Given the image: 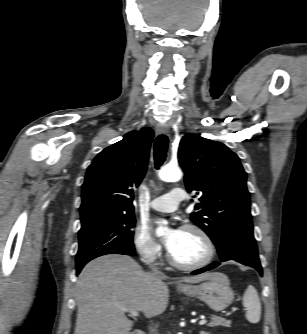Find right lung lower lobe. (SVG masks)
I'll return each instance as SVG.
<instances>
[{"label": "right lung lower lobe", "instance_id": "obj_1", "mask_svg": "<svg viewBox=\"0 0 307 334\" xmlns=\"http://www.w3.org/2000/svg\"><path fill=\"white\" fill-rule=\"evenodd\" d=\"M110 254H125L123 251H119V252H115V253H110ZM85 265V264H84ZM83 265V266H84ZM83 266H79L77 267V271H76V274L78 275L81 271V269L83 268Z\"/></svg>", "mask_w": 307, "mask_h": 334}]
</instances>
